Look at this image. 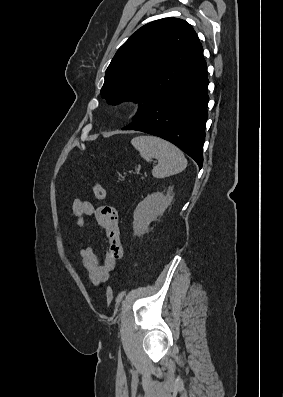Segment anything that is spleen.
<instances>
[{
  "mask_svg": "<svg viewBox=\"0 0 283 397\" xmlns=\"http://www.w3.org/2000/svg\"><path fill=\"white\" fill-rule=\"evenodd\" d=\"M131 144L147 162H150L152 158L158 159V164L152 169V175L155 178L177 174L187 166V159L183 152L159 137L138 136L131 140Z\"/></svg>",
  "mask_w": 283,
  "mask_h": 397,
  "instance_id": "1",
  "label": "spleen"
}]
</instances>
